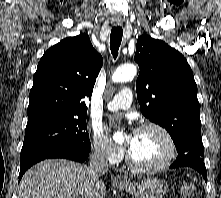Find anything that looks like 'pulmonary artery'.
<instances>
[{
  "instance_id": "1",
  "label": "pulmonary artery",
  "mask_w": 221,
  "mask_h": 198,
  "mask_svg": "<svg viewBox=\"0 0 221 198\" xmlns=\"http://www.w3.org/2000/svg\"><path fill=\"white\" fill-rule=\"evenodd\" d=\"M131 102L132 92L129 88H124L108 102L107 109L110 111L125 110L130 107Z\"/></svg>"
}]
</instances>
